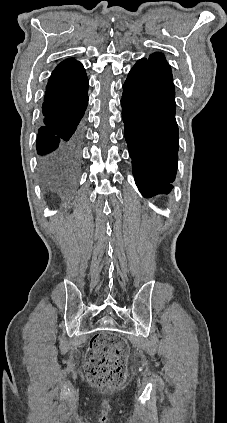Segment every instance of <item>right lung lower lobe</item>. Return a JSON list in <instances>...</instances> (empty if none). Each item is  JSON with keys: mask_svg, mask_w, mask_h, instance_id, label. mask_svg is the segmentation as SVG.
<instances>
[{"mask_svg": "<svg viewBox=\"0 0 227 423\" xmlns=\"http://www.w3.org/2000/svg\"><path fill=\"white\" fill-rule=\"evenodd\" d=\"M88 104V92L61 98L44 97V126L36 148L40 170L47 188L67 190L74 184L80 164L82 128L79 125Z\"/></svg>", "mask_w": 227, "mask_h": 423, "instance_id": "right-lung-lower-lobe-1", "label": "right lung lower lobe"}]
</instances>
